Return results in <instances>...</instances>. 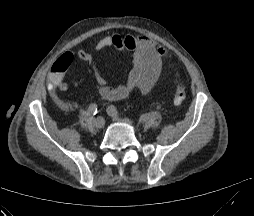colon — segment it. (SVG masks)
Segmentation results:
<instances>
[{
	"label": "colon",
	"instance_id": "5ec220e1",
	"mask_svg": "<svg viewBox=\"0 0 254 216\" xmlns=\"http://www.w3.org/2000/svg\"><path fill=\"white\" fill-rule=\"evenodd\" d=\"M67 65L60 62L59 59L58 61L53 65L52 69H60V70H66L67 69ZM169 69L173 71V75L175 78H179L180 74L176 71H174V66L173 65H169ZM186 98V89L185 86L182 82H178L174 88L173 91V100L175 104H181Z\"/></svg>",
	"mask_w": 254,
	"mask_h": 216
}]
</instances>
